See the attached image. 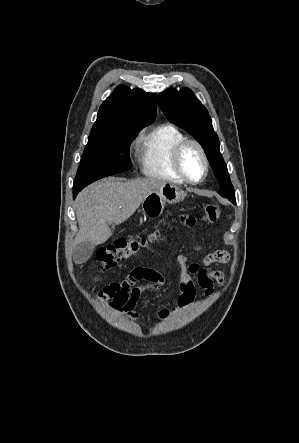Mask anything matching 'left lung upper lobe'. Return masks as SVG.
<instances>
[{"mask_svg":"<svg viewBox=\"0 0 299 443\" xmlns=\"http://www.w3.org/2000/svg\"><path fill=\"white\" fill-rule=\"evenodd\" d=\"M158 103L171 122L184 128L202 145L220 183V195L233 202L235 191L220 154L219 139L213 130L207 109L188 88H182L180 91L167 89L158 95Z\"/></svg>","mask_w":299,"mask_h":443,"instance_id":"1","label":"left lung upper lobe"}]
</instances>
